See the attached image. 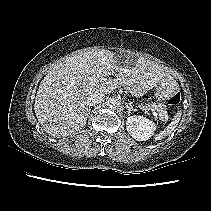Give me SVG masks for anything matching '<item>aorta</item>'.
I'll return each mask as SVG.
<instances>
[{"label": "aorta", "mask_w": 211, "mask_h": 211, "mask_svg": "<svg viewBox=\"0 0 211 211\" xmlns=\"http://www.w3.org/2000/svg\"><path fill=\"white\" fill-rule=\"evenodd\" d=\"M108 107L110 109H116L119 107V100L117 98H111L109 101H108Z\"/></svg>", "instance_id": "1"}]
</instances>
